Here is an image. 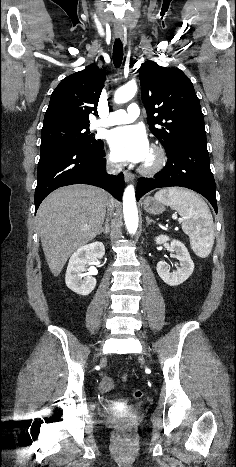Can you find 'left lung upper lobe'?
<instances>
[{
  "label": "left lung upper lobe",
  "mask_w": 236,
  "mask_h": 467,
  "mask_svg": "<svg viewBox=\"0 0 236 467\" xmlns=\"http://www.w3.org/2000/svg\"><path fill=\"white\" fill-rule=\"evenodd\" d=\"M139 78L149 129L166 152L184 138L206 137L198 97L180 69L146 61L139 69Z\"/></svg>",
  "instance_id": "5c2ea615"
}]
</instances>
